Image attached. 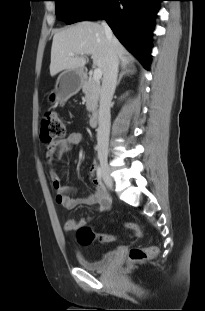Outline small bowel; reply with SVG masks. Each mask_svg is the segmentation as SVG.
<instances>
[{"label":"small bowel","instance_id":"1","mask_svg":"<svg viewBox=\"0 0 205 311\" xmlns=\"http://www.w3.org/2000/svg\"><path fill=\"white\" fill-rule=\"evenodd\" d=\"M83 140V134L80 132H70L62 140L56 142L52 146V151L55 152L56 157L61 156L73 146L78 145ZM50 163V181L52 188L56 192V201L63 207L67 209L75 208L78 205L86 204L90 206H96L98 212H103L107 210L110 206V197L102 186L99 179L95 178V166L92 165L91 171L89 173V179L95 186V190L88 196L82 198L73 197V188L67 187L63 184L62 179L54 166L52 159L49 160ZM88 219L82 218L80 220L69 219L65 223V230L76 231L77 228L86 224Z\"/></svg>","mask_w":205,"mask_h":311}]
</instances>
